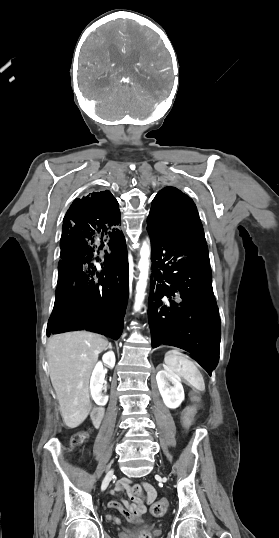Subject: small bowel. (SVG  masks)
Listing matches in <instances>:
<instances>
[{
  "label": "small bowel",
  "mask_w": 279,
  "mask_h": 538,
  "mask_svg": "<svg viewBox=\"0 0 279 538\" xmlns=\"http://www.w3.org/2000/svg\"><path fill=\"white\" fill-rule=\"evenodd\" d=\"M130 481L128 479H121L117 482L115 487L112 490V493H119L126 491L129 496L131 497L132 502H129L127 500L122 501H110L108 502L107 506L111 509L118 510L127 520L132 522H138L139 518L145 513L146 510V504H150L154 501L156 497L155 489L148 483H144L143 486L146 491V500H141L137 497H135L130 488H129ZM106 519L109 521L114 522L115 524H120L121 519L119 516L116 515H107Z\"/></svg>",
  "instance_id": "small-bowel-1"
}]
</instances>
